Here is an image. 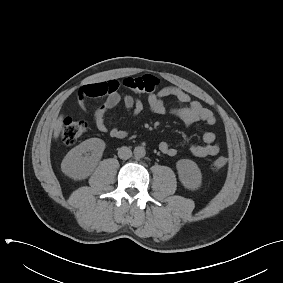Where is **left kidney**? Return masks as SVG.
Returning a JSON list of instances; mask_svg holds the SVG:
<instances>
[{
    "label": "left kidney",
    "instance_id": "1",
    "mask_svg": "<svg viewBox=\"0 0 283 283\" xmlns=\"http://www.w3.org/2000/svg\"><path fill=\"white\" fill-rule=\"evenodd\" d=\"M179 179L190 190H196L201 186L202 175L198 165L189 159H181L176 163Z\"/></svg>",
    "mask_w": 283,
    "mask_h": 283
}]
</instances>
